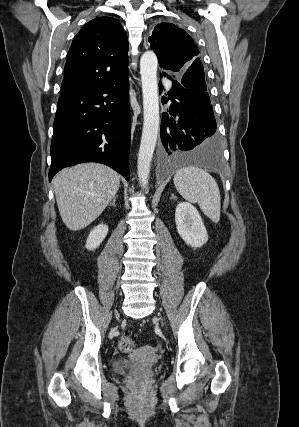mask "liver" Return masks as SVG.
Listing matches in <instances>:
<instances>
[{
  "label": "liver",
  "instance_id": "liver-1",
  "mask_svg": "<svg viewBox=\"0 0 299 427\" xmlns=\"http://www.w3.org/2000/svg\"><path fill=\"white\" fill-rule=\"evenodd\" d=\"M54 191L60 216L70 230L92 223L115 197L120 176L98 163H83L59 172Z\"/></svg>",
  "mask_w": 299,
  "mask_h": 427
}]
</instances>
